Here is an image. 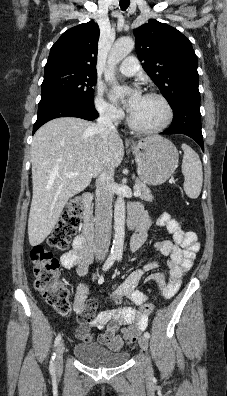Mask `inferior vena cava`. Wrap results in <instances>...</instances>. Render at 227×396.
Returning a JSON list of instances; mask_svg holds the SVG:
<instances>
[{
  "mask_svg": "<svg viewBox=\"0 0 227 396\" xmlns=\"http://www.w3.org/2000/svg\"><path fill=\"white\" fill-rule=\"evenodd\" d=\"M95 130L105 141L107 136L116 132L111 116L101 111ZM114 170L104 169L97 179L95 200V231L93 250L96 256H105L110 246Z\"/></svg>",
  "mask_w": 227,
  "mask_h": 396,
  "instance_id": "inferior-vena-cava-1",
  "label": "inferior vena cava"
}]
</instances>
